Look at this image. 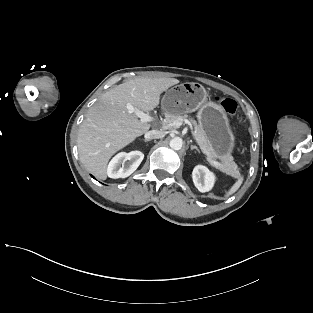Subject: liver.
Segmentation results:
<instances>
[{"mask_svg":"<svg viewBox=\"0 0 313 313\" xmlns=\"http://www.w3.org/2000/svg\"><path fill=\"white\" fill-rule=\"evenodd\" d=\"M178 83L175 78H137L103 94L78 132L80 161L88 171L105 180L109 159L150 129L148 122L128 112L127 104L148 113L159 105L161 93Z\"/></svg>","mask_w":313,"mask_h":313,"instance_id":"1","label":"liver"}]
</instances>
